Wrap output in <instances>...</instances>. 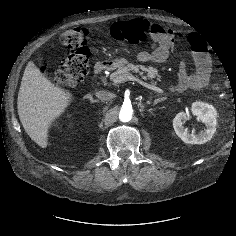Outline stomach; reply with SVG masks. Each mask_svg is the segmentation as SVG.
I'll return each instance as SVG.
<instances>
[{
  "mask_svg": "<svg viewBox=\"0 0 236 236\" xmlns=\"http://www.w3.org/2000/svg\"><path fill=\"white\" fill-rule=\"evenodd\" d=\"M128 61L125 58H118L113 61V65L115 67H122L124 66Z\"/></svg>",
  "mask_w": 236,
  "mask_h": 236,
  "instance_id": "1",
  "label": "stomach"
}]
</instances>
